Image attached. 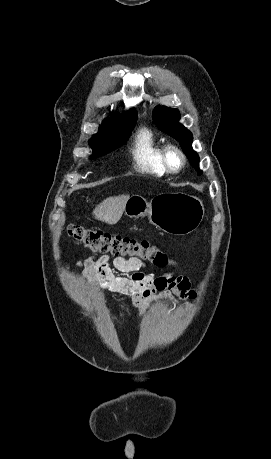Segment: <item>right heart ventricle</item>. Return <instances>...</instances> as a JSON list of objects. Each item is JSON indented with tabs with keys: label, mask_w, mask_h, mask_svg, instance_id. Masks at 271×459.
Returning <instances> with one entry per match:
<instances>
[{
	"label": "right heart ventricle",
	"mask_w": 271,
	"mask_h": 459,
	"mask_svg": "<svg viewBox=\"0 0 271 459\" xmlns=\"http://www.w3.org/2000/svg\"><path fill=\"white\" fill-rule=\"evenodd\" d=\"M163 145L154 130L148 127L141 128L134 138L131 152L137 171L156 177L166 176L168 171L161 156Z\"/></svg>",
	"instance_id": "1"
}]
</instances>
